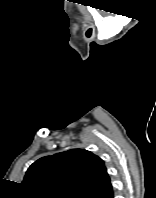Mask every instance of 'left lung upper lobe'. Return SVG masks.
I'll use <instances>...</instances> for the list:
<instances>
[{
	"label": "left lung upper lobe",
	"instance_id": "left-lung-upper-lobe-1",
	"mask_svg": "<svg viewBox=\"0 0 156 198\" xmlns=\"http://www.w3.org/2000/svg\"><path fill=\"white\" fill-rule=\"evenodd\" d=\"M109 183L104 161L84 149L40 158L22 182L28 198H93Z\"/></svg>",
	"mask_w": 156,
	"mask_h": 198
}]
</instances>
